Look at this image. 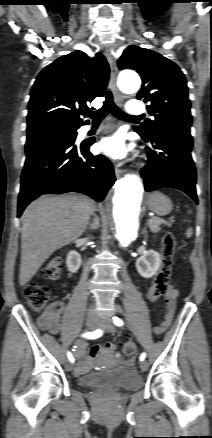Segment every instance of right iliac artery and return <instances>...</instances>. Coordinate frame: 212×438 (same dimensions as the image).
Returning <instances> with one entry per match:
<instances>
[{
  "instance_id": "82829eb1",
  "label": "right iliac artery",
  "mask_w": 212,
  "mask_h": 438,
  "mask_svg": "<svg viewBox=\"0 0 212 438\" xmlns=\"http://www.w3.org/2000/svg\"><path fill=\"white\" fill-rule=\"evenodd\" d=\"M102 334H103L102 330L97 329V330H95V331H93V332H86V333H84V334L82 335V337L87 338V339H97V338H99ZM67 357H68V359H69L70 362L74 363L75 359H74V357H73V355H72L71 352H69V351L67 352Z\"/></svg>"
}]
</instances>
